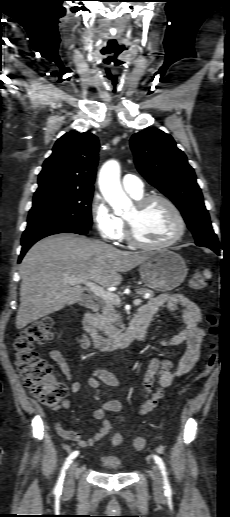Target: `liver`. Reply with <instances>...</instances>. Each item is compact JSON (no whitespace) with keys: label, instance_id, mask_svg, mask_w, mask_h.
Masks as SVG:
<instances>
[{"label":"liver","instance_id":"obj_1","mask_svg":"<svg viewBox=\"0 0 230 517\" xmlns=\"http://www.w3.org/2000/svg\"><path fill=\"white\" fill-rule=\"evenodd\" d=\"M147 252L119 250L99 240L74 234L44 238L33 245L20 264V307L16 328L81 300L85 288L66 280L79 277L103 287L118 286L121 273L142 264Z\"/></svg>","mask_w":230,"mask_h":517}]
</instances>
